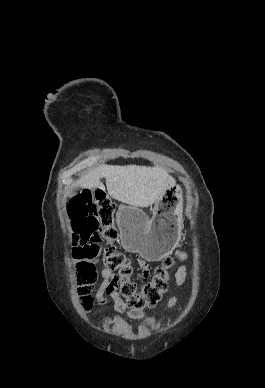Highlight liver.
<instances>
[{"instance_id": "1", "label": "liver", "mask_w": 265, "mask_h": 388, "mask_svg": "<svg viewBox=\"0 0 265 388\" xmlns=\"http://www.w3.org/2000/svg\"><path fill=\"white\" fill-rule=\"evenodd\" d=\"M100 178H106L109 196L136 208H149L157 200H162L168 188L175 186V180L163 168L146 166H99L93 172L74 182L80 188H101Z\"/></svg>"}]
</instances>
